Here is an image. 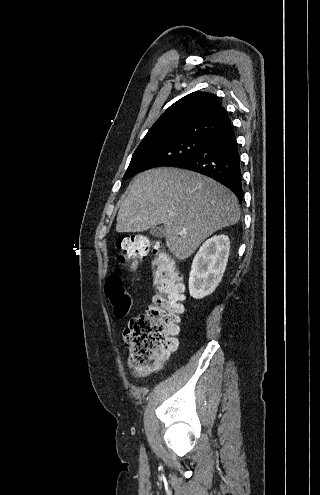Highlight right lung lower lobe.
Returning <instances> with one entry per match:
<instances>
[{"label": "right lung lower lobe", "instance_id": "1", "mask_svg": "<svg viewBox=\"0 0 320 495\" xmlns=\"http://www.w3.org/2000/svg\"><path fill=\"white\" fill-rule=\"evenodd\" d=\"M175 167L209 176L228 187L243 200L241 161L234 128L231 124L209 135L201 148Z\"/></svg>", "mask_w": 320, "mask_h": 495}]
</instances>
